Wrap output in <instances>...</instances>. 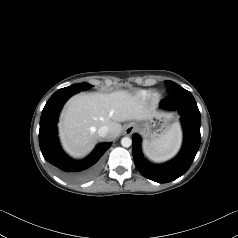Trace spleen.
I'll use <instances>...</instances> for the list:
<instances>
[{"mask_svg":"<svg viewBox=\"0 0 238 238\" xmlns=\"http://www.w3.org/2000/svg\"><path fill=\"white\" fill-rule=\"evenodd\" d=\"M182 142V131L179 124H173L159 139L144 144V151L148 157L156 162H163L173 157Z\"/></svg>","mask_w":238,"mask_h":238,"instance_id":"3e777b00","label":"spleen"}]
</instances>
